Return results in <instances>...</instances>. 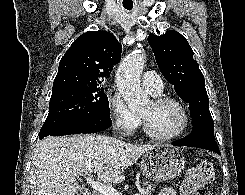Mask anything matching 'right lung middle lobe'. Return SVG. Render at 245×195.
Returning a JSON list of instances; mask_svg holds the SVG:
<instances>
[{"mask_svg": "<svg viewBox=\"0 0 245 195\" xmlns=\"http://www.w3.org/2000/svg\"><path fill=\"white\" fill-rule=\"evenodd\" d=\"M99 114L110 116L104 87H79L52 92L49 113L39 132V137Z\"/></svg>", "mask_w": 245, "mask_h": 195, "instance_id": "obj_1", "label": "right lung middle lobe"}]
</instances>
